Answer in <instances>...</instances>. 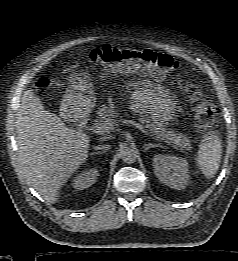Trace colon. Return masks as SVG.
<instances>
[{
	"label": "colon",
	"instance_id": "colon-1",
	"mask_svg": "<svg viewBox=\"0 0 238 261\" xmlns=\"http://www.w3.org/2000/svg\"><path fill=\"white\" fill-rule=\"evenodd\" d=\"M91 62L118 72H136L151 74L162 78L179 70V63L167 54L157 53L149 49L120 48L112 45H102L89 53ZM49 79L42 76L37 81V87L45 89ZM182 88L192 103L197 126L202 131L209 130L218 120V109L194 82L183 80Z\"/></svg>",
	"mask_w": 238,
	"mask_h": 261
}]
</instances>
